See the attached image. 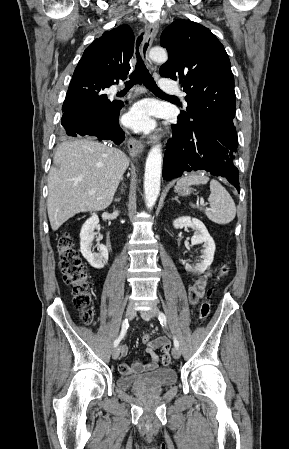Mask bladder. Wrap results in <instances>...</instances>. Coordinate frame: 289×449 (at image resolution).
I'll return each mask as SVG.
<instances>
[{"label":"bladder","mask_w":289,"mask_h":449,"mask_svg":"<svg viewBox=\"0 0 289 449\" xmlns=\"http://www.w3.org/2000/svg\"><path fill=\"white\" fill-rule=\"evenodd\" d=\"M177 381L176 371L172 368H159L139 375L119 376L117 387L130 390L134 388H165Z\"/></svg>","instance_id":"1"}]
</instances>
